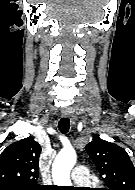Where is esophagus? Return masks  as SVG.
<instances>
[{
  "label": "esophagus",
  "mask_w": 135,
  "mask_h": 190,
  "mask_svg": "<svg viewBox=\"0 0 135 190\" xmlns=\"http://www.w3.org/2000/svg\"><path fill=\"white\" fill-rule=\"evenodd\" d=\"M62 116L64 118H71L73 120V114H72V112L69 109H64L62 111Z\"/></svg>",
  "instance_id": "obj_1"
}]
</instances>
